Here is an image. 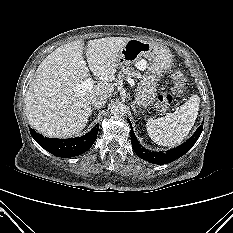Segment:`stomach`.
<instances>
[{"mask_svg":"<svg viewBox=\"0 0 233 233\" xmlns=\"http://www.w3.org/2000/svg\"><path fill=\"white\" fill-rule=\"evenodd\" d=\"M142 57L149 60V66L146 75L135 90V102L140 108L154 103L158 79L169 69L172 62V55L166 48L156 43L133 38L117 53V66L125 67L134 64Z\"/></svg>","mask_w":233,"mask_h":233,"instance_id":"obj_1","label":"stomach"}]
</instances>
